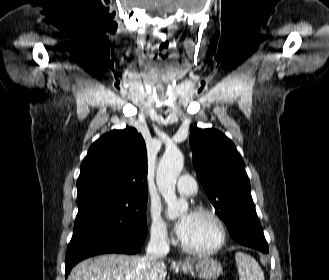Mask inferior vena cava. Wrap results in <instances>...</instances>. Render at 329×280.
I'll return each mask as SVG.
<instances>
[{
	"instance_id": "1",
	"label": "inferior vena cava",
	"mask_w": 329,
	"mask_h": 280,
	"mask_svg": "<svg viewBox=\"0 0 329 280\" xmlns=\"http://www.w3.org/2000/svg\"><path fill=\"white\" fill-rule=\"evenodd\" d=\"M169 252V243L167 242V233L164 230L151 232L150 241L146 249V255L141 258V265L145 273L149 275L152 269H156L162 263V258Z\"/></svg>"
}]
</instances>
